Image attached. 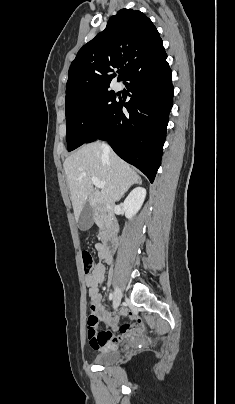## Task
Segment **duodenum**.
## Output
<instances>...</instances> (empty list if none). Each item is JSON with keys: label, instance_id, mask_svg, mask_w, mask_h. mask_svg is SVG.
<instances>
[{"label": "duodenum", "instance_id": "1", "mask_svg": "<svg viewBox=\"0 0 235 404\" xmlns=\"http://www.w3.org/2000/svg\"><path fill=\"white\" fill-rule=\"evenodd\" d=\"M113 211L107 209L103 214L94 217L95 222H103L102 241L107 252V261L112 260V256L118 247V240L112 223Z\"/></svg>", "mask_w": 235, "mask_h": 404}]
</instances>
